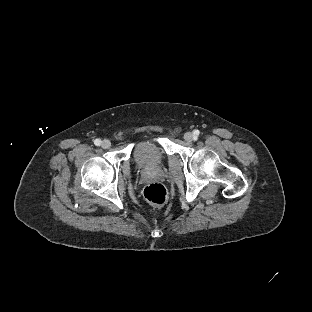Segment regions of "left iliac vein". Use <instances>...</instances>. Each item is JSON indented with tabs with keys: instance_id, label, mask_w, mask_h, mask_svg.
<instances>
[{
	"instance_id": "1",
	"label": "left iliac vein",
	"mask_w": 312,
	"mask_h": 312,
	"mask_svg": "<svg viewBox=\"0 0 312 312\" xmlns=\"http://www.w3.org/2000/svg\"><path fill=\"white\" fill-rule=\"evenodd\" d=\"M184 139L187 141V142H192L194 140V136L191 132H187L184 134Z\"/></svg>"
}]
</instances>
